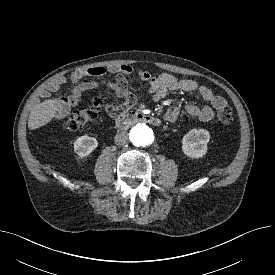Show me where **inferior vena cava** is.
<instances>
[{
	"label": "inferior vena cava",
	"mask_w": 275,
	"mask_h": 275,
	"mask_svg": "<svg viewBox=\"0 0 275 275\" xmlns=\"http://www.w3.org/2000/svg\"><path fill=\"white\" fill-rule=\"evenodd\" d=\"M115 144L118 146H124L129 142L128 133L126 132H119L116 134L114 138Z\"/></svg>",
	"instance_id": "1"
}]
</instances>
